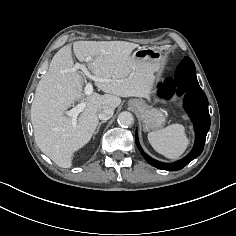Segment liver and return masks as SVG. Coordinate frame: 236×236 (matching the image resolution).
I'll list each match as a JSON object with an SVG mask.
<instances>
[{
    "instance_id": "liver-1",
    "label": "liver",
    "mask_w": 236,
    "mask_h": 236,
    "mask_svg": "<svg viewBox=\"0 0 236 236\" xmlns=\"http://www.w3.org/2000/svg\"><path fill=\"white\" fill-rule=\"evenodd\" d=\"M139 45L126 41H76L73 51L79 61L91 58L88 68L97 78L95 85L105 92L84 95V79L74 68L71 45L62 47L36 88L31 106V122L37 146L56 165L70 168L74 153L92 138L98 126V113L104 106L115 109L120 97H146L159 63L135 59L131 52ZM81 101L85 109L76 125L65 111Z\"/></svg>"
}]
</instances>
